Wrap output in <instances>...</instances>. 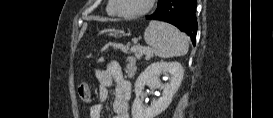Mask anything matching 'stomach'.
Segmentation results:
<instances>
[{"mask_svg":"<svg viewBox=\"0 0 273 118\" xmlns=\"http://www.w3.org/2000/svg\"><path fill=\"white\" fill-rule=\"evenodd\" d=\"M119 33L121 34V33H123V32L117 31V32H115L114 34H111V35L117 36Z\"/></svg>","mask_w":273,"mask_h":118,"instance_id":"stomach-1","label":"stomach"}]
</instances>
